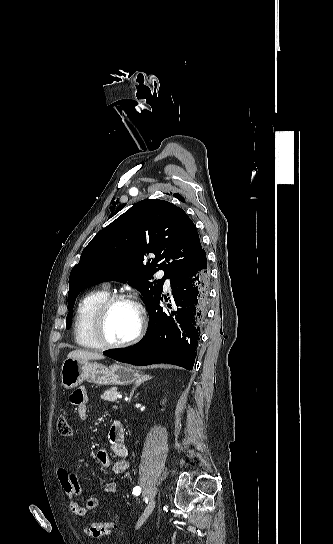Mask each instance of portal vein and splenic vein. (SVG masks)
<instances>
[{
  "instance_id": "18ae733b",
  "label": "portal vein and splenic vein",
  "mask_w": 333,
  "mask_h": 544,
  "mask_svg": "<svg viewBox=\"0 0 333 544\" xmlns=\"http://www.w3.org/2000/svg\"><path fill=\"white\" fill-rule=\"evenodd\" d=\"M118 399H121L122 398V395L120 393L117 394L116 396Z\"/></svg>"
}]
</instances>
